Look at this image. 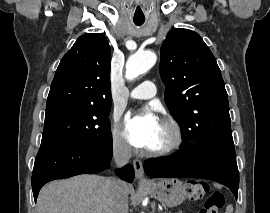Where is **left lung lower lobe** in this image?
<instances>
[{"label": "left lung lower lobe", "instance_id": "obj_1", "mask_svg": "<svg viewBox=\"0 0 270 213\" xmlns=\"http://www.w3.org/2000/svg\"><path fill=\"white\" fill-rule=\"evenodd\" d=\"M145 173L152 178L193 177L213 180L227 186L237 199L239 173L234 145L215 148L184 140L181 151L144 162Z\"/></svg>", "mask_w": 270, "mask_h": 213}]
</instances>
